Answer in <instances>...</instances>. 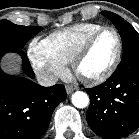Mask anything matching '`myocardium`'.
<instances>
[{"instance_id": "obj_1", "label": "myocardium", "mask_w": 139, "mask_h": 139, "mask_svg": "<svg viewBox=\"0 0 139 139\" xmlns=\"http://www.w3.org/2000/svg\"><path fill=\"white\" fill-rule=\"evenodd\" d=\"M107 31H111L115 35L116 41H117V50H116L112 63L110 64V66L107 68L105 72H103L102 74L96 77L82 76L79 72V65L81 61L90 51L96 39L100 35H102L104 32H107ZM122 54H123V40L118 30L111 26H103L102 28L98 29L93 34H91L86 39V41L82 44V46L79 48V50L77 51V53L75 54L72 60V67H73L75 74L84 82L89 83V84H101L107 81L115 73V71L117 70L121 62Z\"/></svg>"}]
</instances>
